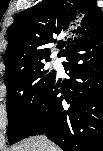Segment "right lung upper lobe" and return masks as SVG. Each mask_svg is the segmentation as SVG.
Returning <instances> with one entry per match:
<instances>
[{
	"label": "right lung upper lobe",
	"instance_id": "1",
	"mask_svg": "<svg viewBox=\"0 0 103 151\" xmlns=\"http://www.w3.org/2000/svg\"><path fill=\"white\" fill-rule=\"evenodd\" d=\"M95 8L90 0H42L20 12L7 33L5 81L27 66L50 60V49L44 46L55 37L68 39L64 53L84 34L102 28Z\"/></svg>",
	"mask_w": 103,
	"mask_h": 151
}]
</instances>
